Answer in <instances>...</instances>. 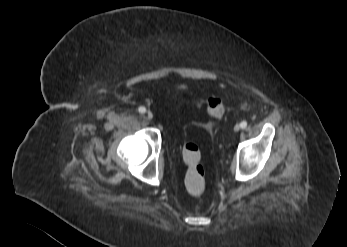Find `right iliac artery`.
Here are the masks:
<instances>
[{
    "mask_svg": "<svg viewBox=\"0 0 347 247\" xmlns=\"http://www.w3.org/2000/svg\"><path fill=\"white\" fill-rule=\"evenodd\" d=\"M138 111H139V113L143 114L146 112V108L141 106V107H139Z\"/></svg>",
    "mask_w": 347,
    "mask_h": 247,
    "instance_id": "right-iliac-artery-1",
    "label": "right iliac artery"
}]
</instances>
